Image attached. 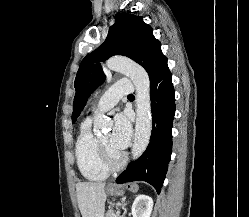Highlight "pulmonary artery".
I'll use <instances>...</instances> for the list:
<instances>
[{
  "mask_svg": "<svg viewBox=\"0 0 249 217\" xmlns=\"http://www.w3.org/2000/svg\"><path fill=\"white\" fill-rule=\"evenodd\" d=\"M134 91L135 87L130 80L118 81L99 98L95 110L108 111L113 108L121 98L129 96Z\"/></svg>",
  "mask_w": 249,
  "mask_h": 217,
  "instance_id": "obj_1",
  "label": "pulmonary artery"
}]
</instances>
